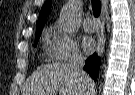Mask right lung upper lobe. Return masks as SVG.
Returning a JSON list of instances; mask_svg holds the SVG:
<instances>
[{"mask_svg": "<svg viewBox=\"0 0 135 95\" xmlns=\"http://www.w3.org/2000/svg\"><path fill=\"white\" fill-rule=\"evenodd\" d=\"M51 5H52V1L51 0H47L44 3V5H43V7L41 9L40 15H39L38 22H37L36 33L42 31V28L44 26L45 20H46L47 15H48V13L50 11Z\"/></svg>", "mask_w": 135, "mask_h": 95, "instance_id": "1", "label": "right lung upper lobe"}]
</instances>
